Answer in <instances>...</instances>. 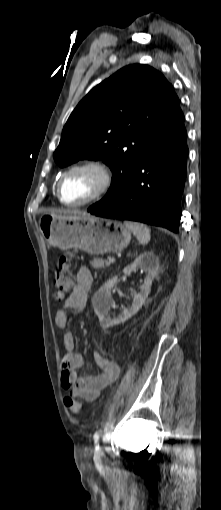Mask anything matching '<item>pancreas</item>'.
I'll list each match as a JSON object with an SVG mask.
<instances>
[{"instance_id":"cf45deb5","label":"pancreas","mask_w":221,"mask_h":510,"mask_svg":"<svg viewBox=\"0 0 221 510\" xmlns=\"http://www.w3.org/2000/svg\"><path fill=\"white\" fill-rule=\"evenodd\" d=\"M110 264H107L106 263V266L109 267ZM91 266L94 268V269H103L105 268V264H104V261L102 259H93L91 261Z\"/></svg>"}]
</instances>
